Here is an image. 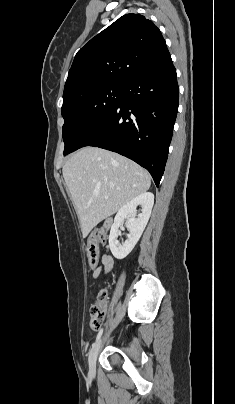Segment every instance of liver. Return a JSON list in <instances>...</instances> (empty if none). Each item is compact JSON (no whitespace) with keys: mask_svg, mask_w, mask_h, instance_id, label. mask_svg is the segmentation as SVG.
I'll list each match as a JSON object with an SVG mask.
<instances>
[{"mask_svg":"<svg viewBox=\"0 0 235 404\" xmlns=\"http://www.w3.org/2000/svg\"><path fill=\"white\" fill-rule=\"evenodd\" d=\"M62 172L83 237L151 185L150 174L141 166L97 147L78 150L64 164Z\"/></svg>","mask_w":235,"mask_h":404,"instance_id":"1","label":"liver"}]
</instances>
